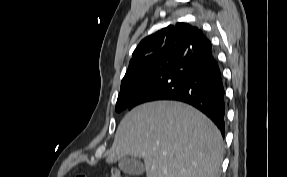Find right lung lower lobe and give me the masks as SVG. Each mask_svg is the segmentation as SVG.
<instances>
[{
  "label": "right lung lower lobe",
  "instance_id": "98d812e1",
  "mask_svg": "<svg viewBox=\"0 0 287 177\" xmlns=\"http://www.w3.org/2000/svg\"><path fill=\"white\" fill-rule=\"evenodd\" d=\"M155 100H176L208 116L225 135V90L211 42L201 32L178 64L149 85L128 107Z\"/></svg>",
  "mask_w": 287,
  "mask_h": 177
}]
</instances>
